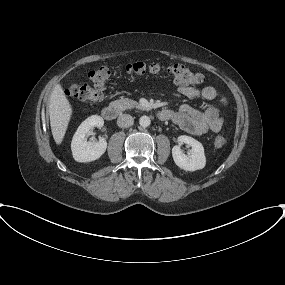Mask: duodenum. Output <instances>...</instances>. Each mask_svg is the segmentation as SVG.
<instances>
[{
    "mask_svg": "<svg viewBox=\"0 0 285 285\" xmlns=\"http://www.w3.org/2000/svg\"><path fill=\"white\" fill-rule=\"evenodd\" d=\"M121 113V109L118 104L111 103L103 108L102 116L104 119L111 121L116 119ZM161 120H166L168 118V111L166 109L161 110L158 114Z\"/></svg>",
    "mask_w": 285,
    "mask_h": 285,
    "instance_id": "obj_1",
    "label": "duodenum"
}]
</instances>
